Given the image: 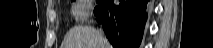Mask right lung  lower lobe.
Wrapping results in <instances>:
<instances>
[{"label":"right lung lower lobe","instance_id":"98d812e1","mask_svg":"<svg viewBox=\"0 0 213 48\" xmlns=\"http://www.w3.org/2000/svg\"><path fill=\"white\" fill-rule=\"evenodd\" d=\"M148 0H99L94 13L114 48H138L147 18Z\"/></svg>","mask_w":213,"mask_h":48}]
</instances>
